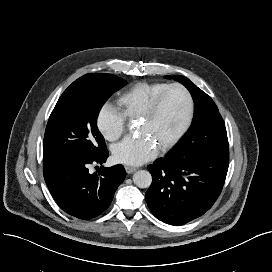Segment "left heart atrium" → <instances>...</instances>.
<instances>
[{
	"mask_svg": "<svg viewBox=\"0 0 272 272\" xmlns=\"http://www.w3.org/2000/svg\"><path fill=\"white\" fill-rule=\"evenodd\" d=\"M157 146L147 137H127L113 148L114 159L122 164L138 166L153 159Z\"/></svg>",
	"mask_w": 272,
	"mask_h": 272,
	"instance_id": "left-heart-atrium-1",
	"label": "left heart atrium"
}]
</instances>
